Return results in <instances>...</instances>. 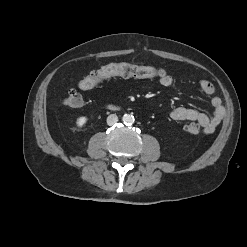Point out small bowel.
<instances>
[{"label":"small bowel","mask_w":247,"mask_h":247,"mask_svg":"<svg viewBox=\"0 0 247 247\" xmlns=\"http://www.w3.org/2000/svg\"><path fill=\"white\" fill-rule=\"evenodd\" d=\"M160 84L164 87L176 89L177 86L173 78L169 75H165L159 78ZM201 90L208 96H211L210 103L213 107L212 114H208L203 111H199L194 108H187L183 106L175 107L169 112V117L176 121H191L196 122L205 134L213 133L225 115V108L222 105V101L218 96L214 95L215 89L211 82L207 80H201L199 82Z\"/></svg>","instance_id":"obj_1"}]
</instances>
